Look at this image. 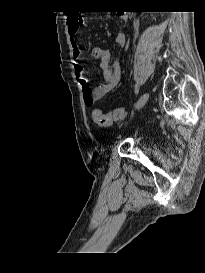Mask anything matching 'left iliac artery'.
<instances>
[{
  "instance_id": "obj_1",
  "label": "left iliac artery",
  "mask_w": 205,
  "mask_h": 273,
  "mask_svg": "<svg viewBox=\"0 0 205 273\" xmlns=\"http://www.w3.org/2000/svg\"><path fill=\"white\" fill-rule=\"evenodd\" d=\"M138 92H139V86L136 84V86H135V93L138 94Z\"/></svg>"
}]
</instances>
